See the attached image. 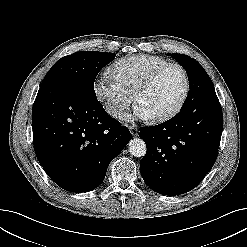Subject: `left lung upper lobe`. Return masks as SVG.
<instances>
[{
    "label": "left lung upper lobe",
    "instance_id": "obj_1",
    "mask_svg": "<svg viewBox=\"0 0 247 247\" xmlns=\"http://www.w3.org/2000/svg\"><path fill=\"white\" fill-rule=\"evenodd\" d=\"M170 55L186 69L189 79L190 91L182 108L196 101H205L217 97L210 77L194 58L176 53Z\"/></svg>",
    "mask_w": 247,
    "mask_h": 247
}]
</instances>
